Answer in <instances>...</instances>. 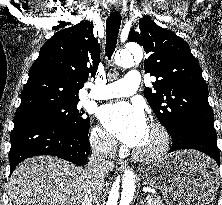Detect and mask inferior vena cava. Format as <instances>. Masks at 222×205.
Wrapping results in <instances>:
<instances>
[{
	"mask_svg": "<svg viewBox=\"0 0 222 205\" xmlns=\"http://www.w3.org/2000/svg\"><path fill=\"white\" fill-rule=\"evenodd\" d=\"M116 142H104L102 146L95 147L88 162L86 173L89 178V189L86 191L82 205H95L97 203L96 190L100 188L104 178L113 170V157Z\"/></svg>",
	"mask_w": 222,
	"mask_h": 205,
	"instance_id": "1",
	"label": "inferior vena cava"
}]
</instances>
